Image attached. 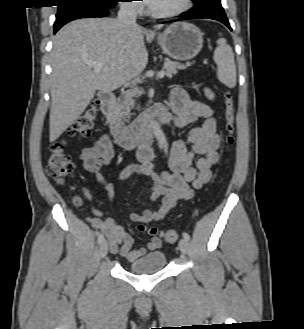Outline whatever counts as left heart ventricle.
<instances>
[{
    "label": "left heart ventricle",
    "instance_id": "1",
    "mask_svg": "<svg viewBox=\"0 0 304 329\" xmlns=\"http://www.w3.org/2000/svg\"><path fill=\"white\" fill-rule=\"evenodd\" d=\"M183 0H153L149 5L155 11H169L181 6Z\"/></svg>",
    "mask_w": 304,
    "mask_h": 329
}]
</instances>
